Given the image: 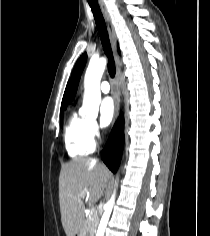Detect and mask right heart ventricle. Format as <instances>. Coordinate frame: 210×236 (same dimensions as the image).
I'll use <instances>...</instances> for the list:
<instances>
[{
  "instance_id": "1",
  "label": "right heart ventricle",
  "mask_w": 210,
  "mask_h": 236,
  "mask_svg": "<svg viewBox=\"0 0 210 236\" xmlns=\"http://www.w3.org/2000/svg\"><path fill=\"white\" fill-rule=\"evenodd\" d=\"M89 120L73 109L66 121L63 140L71 158L86 156L94 151L95 145L88 131Z\"/></svg>"
}]
</instances>
